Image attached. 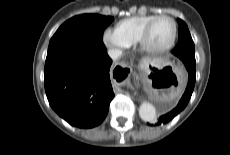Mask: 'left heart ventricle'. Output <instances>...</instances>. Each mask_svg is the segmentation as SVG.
Masks as SVG:
<instances>
[{"label":"left heart ventricle","mask_w":230,"mask_h":155,"mask_svg":"<svg viewBox=\"0 0 230 155\" xmlns=\"http://www.w3.org/2000/svg\"><path fill=\"white\" fill-rule=\"evenodd\" d=\"M173 34V23L171 20L162 18L157 20L152 26L149 36L148 45L153 48H161L167 45Z\"/></svg>","instance_id":"obj_1"}]
</instances>
